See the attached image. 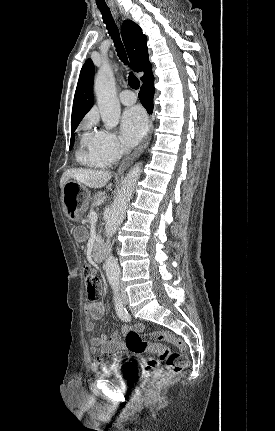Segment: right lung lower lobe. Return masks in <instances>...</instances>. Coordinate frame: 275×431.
I'll list each match as a JSON object with an SVG mask.
<instances>
[{
	"mask_svg": "<svg viewBox=\"0 0 275 431\" xmlns=\"http://www.w3.org/2000/svg\"><path fill=\"white\" fill-rule=\"evenodd\" d=\"M154 76L151 75L141 86L139 99L148 113L153 111V96H154Z\"/></svg>",
	"mask_w": 275,
	"mask_h": 431,
	"instance_id": "98d812e1",
	"label": "right lung lower lobe"
}]
</instances>
